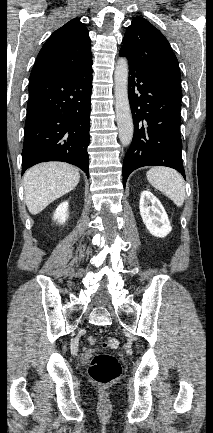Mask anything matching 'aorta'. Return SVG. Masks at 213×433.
Instances as JSON below:
<instances>
[{"label": "aorta", "instance_id": "obj_1", "mask_svg": "<svg viewBox=\"0 0 213 433\" xmlns=\"http://www.w3.org/2000/svg\"><path fill=\"white\" fill-rule=\"evenodd\" d=\"M128 61L118 59L114 72V96L116 121L119 139L123 146H128L133 139L134 125L128 98Z\"/></svg>", "mask_w": 213, "mask_h": 433}]
</instances>
